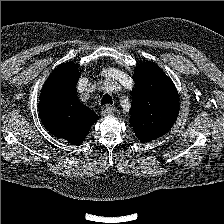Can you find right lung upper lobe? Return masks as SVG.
<instances>
[{
	"label": "right lung upper lobe",
	"instance_id": "obj_1",
	"mask_svg": "<svg viewBox=\"0 0 224 224\" xmlns=\"http://www.w3.org/2000/svg\"><path fill=\"white\" fill-rule=\"evenodd\" d=\"M79 79L74 63L58 66L43 86L39 115L45 128L55 137L77 145L81 143L99 116L83 105L76 94Z\"/></svg>",
	"mask_w": 224,
	"mask_h": 224
}]
</instances>
